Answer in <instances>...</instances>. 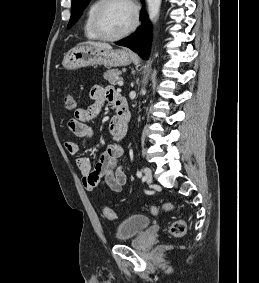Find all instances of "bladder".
<instances>
[{"instance_id": "obj_1", "label": "bladder", "mask_w": 259, "mask_h": 283, "mask_svg": "<svg viewBox=\"0 0 259 283\" xmlns=\"http://www.w3.org/2000/svg\"><path fill=\"white\" fill-rule=\"evenodd\" d=\"M152 220L144 215L136 214L126 218L116 228L115 238L118 241L131 239L146 230Z\"/></svg>"}]
</instances>
